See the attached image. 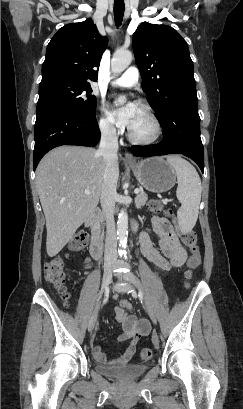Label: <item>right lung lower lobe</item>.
<instances>
[{"label":"right lung lower lobe","instance_id":"1","mask_svg":"<svg viewBox=\"0 0 243 409\" xmlns=\"http://www.w3.org/2000/svg\"><path fill=\"white\" fill-rule=\"evenodd\" d=\"M99 139L94 113L83 115L64 110L39 113L35 123L34 170L41 158L57 146H95Z\"/></svg>","mask_w":243,"mask_h":409}]
</instances>
